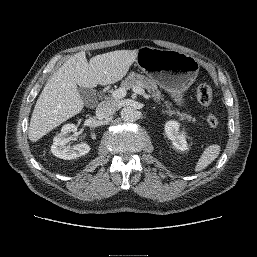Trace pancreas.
<instances>
[{"instance_id": "1", "label": "pancreas", "mask_w": 257, "mask_h": 257, "mask_svg": "<svg viewBox=\"0 0 257 257\" xmlns=\"http://www.w3.org/2000/svg\"><path fill=\"white\" fill-rule=\"evenodd\" d=\"M121 85L125 90H129V89L133 88L134 86H140L141 88L147 89V91L151 94V96L153 97V100L155 102H159L162 99V94H161L160 90H158L157 82L151 78L144 76V75L131 72L122 81ZM166 107L168 109L167 113L169 115L176 114L180 118V120H186L188 122L195 121L192 119V116L189 114L180 113L179 111L171 110L170 105L167 102H166Z\"/></svg>"}]
</instances>
